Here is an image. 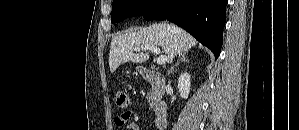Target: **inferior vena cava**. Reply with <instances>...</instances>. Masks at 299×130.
<instances>
[{
  "instance_id": "602c4592",
  "label": "inferior vena cava",
  "mask_w": 299,
  "mask_h": 130,
  "mask_svg": "<svg viewBox=\"0 0 299 130\" xmlns=\"http://www.w3.org/2000/svg\"><path fill=\"white\" fill-rule=\"evenodd\" d=\"M180 54H181L180 50L176 49V50H175V56H176V55H180Z\"/></svg>"
}]
</instances>
